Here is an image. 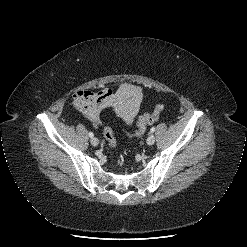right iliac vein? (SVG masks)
Returning <instances> with one entry per match:
<instances>
[{
	"mask_svg": "<svg viewBox=\"0 0 247 247\" xmlns=\"http://www.w3.org/2000/svg\"><path fill=\"white\" fill-rule=\"evenodd\" d=\"M91 144L93 145V146H97L98 144H99V140L97 139V138H92L91 139Z\"/></svg>",
	"mask_w": 247,
	"mask_h": 247,
	"instance_id": "obj_1",
	"label": "right iliac vein"
}]
</instances>
